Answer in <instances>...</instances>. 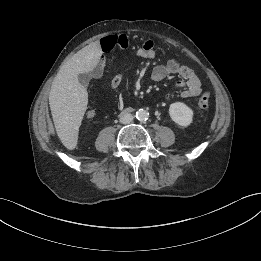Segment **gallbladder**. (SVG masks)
Here are the masks:
<instances>
[{
    "instance_id": "1",
    "label": "gallbladder",
    "mask_w": 261,
    "mask_h": 261,
    "mask_svg": "<svg viewBox=\"0 0 261 261\" xmlns=\"http://www.w3.org/2000/svg\"><path fill=\"white\" fill-rule=\"evenodd\" d=\"M90 79L91 73H81L78 75V81L84 87L88 86Z\"/></svg>"
}]
</instances>
